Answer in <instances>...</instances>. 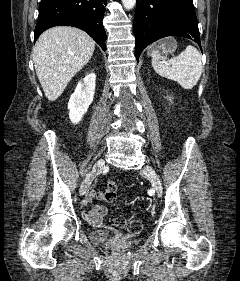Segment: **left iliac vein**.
<instances>
[{"instance_id": "4c4485c4", "label": "left iliac vein", "mask_w": 240, "mask_h": 281, "mask_svg": "<svg viewBox=\"0 0 240 281\" xmlns=\"http://www.w3.org/2000/svg\"><path fill=\"white\" fill-rule=\"evenodd\" d=\"M141 174L151 181L157 196L160 198L163 194V188L155 170L151 166L147 165L141 170Z\"/></svg>"}]
</instances>
